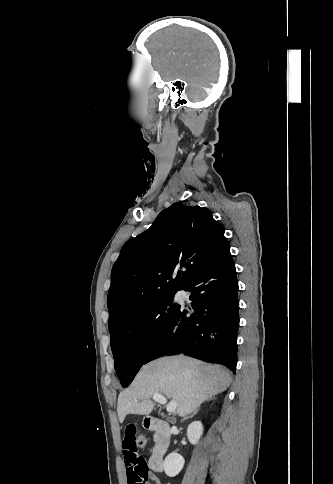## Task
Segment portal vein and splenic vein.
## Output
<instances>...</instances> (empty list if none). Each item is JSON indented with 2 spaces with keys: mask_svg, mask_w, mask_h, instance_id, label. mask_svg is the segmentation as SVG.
<instances>
[{
  "mask_svg": "<svg viewBox=\"0 0 333 484\" xmlns=\"http://www.w3.org/2000/svg\"><path fill=\"white\" fill-rule=\"evenodd\" d=\"M152 399L156 402H159L161 404H166L167 403V399L166 397H164L163 395H160V394H154L152 396ZM176 408H177V402L175 400H171L167 406H166V410L168 413H173L176 411Z\"/></svg>",
  "mask_w": 333,
  "mask_h": 484,
  "instance_id": "18ae733b",
  "label": "portal vein and splenic vein"
}]
</instances>
